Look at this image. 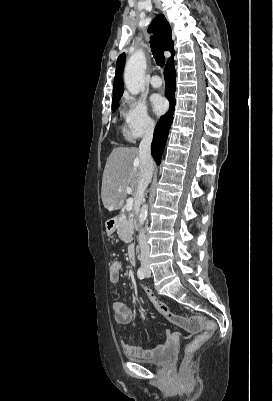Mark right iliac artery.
<instances>
[{
	"mask_svg": "<svg viewBox=\"0 0 273 401\" xmlns=\"http://www.w3.org/2000/svg\"><path fill=\"white\" fill-rule=\"evenodd\" d=\"M137 276H138L139 279H144V277H145V272H144V270H143L142 268H139V269H138V271H137Z\"/></svg>",
	"mask_w": 273,
	"mask_h": 401,
	"instance_id": "right-iliac-artery-1",
	"label": "right iliac artery"
}]
</instances>
